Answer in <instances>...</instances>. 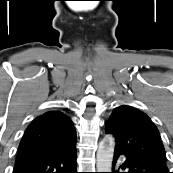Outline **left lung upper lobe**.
Returning <instances> with one entry per match:
<instances>
[{
	"mask_svg": "<svg viewBox=\"0 0 173 173\" xmlns=\"http://www.w3.org/2000/svg\"><path fill=\"white\" fill-rule=\"evenodd\" d=\"M106 133L116 139L115 151L132 154L166 167V152L157 127L140 110L121 105L105 124Z\"/></svg>",
	"mask_w": 173,
	"mask_h": 173,
	"instance_id": "obj_1",
	"label": "left lung upper lobe"
}]
</instances>
